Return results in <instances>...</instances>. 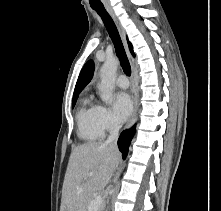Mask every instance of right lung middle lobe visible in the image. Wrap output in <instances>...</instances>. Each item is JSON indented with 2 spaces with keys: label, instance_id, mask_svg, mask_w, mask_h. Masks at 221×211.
I'll use <instances>...</instances> for the list:
<instances>
[{
  "label": "right lung middle lobe",
  "instance_id": "right-lung-middle-lobe-1",
  "mask_svg": "<svg viewBox=\"0 0 221 211\" xmlns=\"http://www.w3.org/2000/svg\"><path fill=\"white\" fill-rule=\"evenodd\" d=\"M77 98H78V96L73 97V99H72V108H74V106L76 104V101H77Z\"/></svg>",
  "mask_w": 221,
  "mask_h": 211
}]
</instances>
